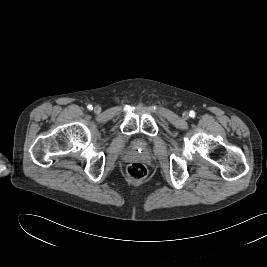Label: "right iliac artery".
<instances>
[{"instance_id":"right-iliac-artery-1","label":"right iliac artery","mask_w":267,"mask_h":267,"mask_svg":"<svg viewBox=\"0 0 267 267\" xmlns=\"http://www.w3.org/2000/svg\"><path fill=\"white\" fill-rule=\"evenodd\" d=\"M87 108H88V110H93V106L91 105V104H89L88 106H87Z\"/></svg>"}]
</instances>
